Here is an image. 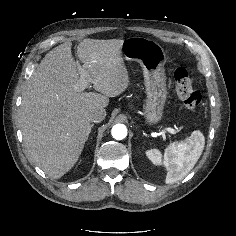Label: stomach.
<instances>
[{"instance_id": "stomach-1", "label": "stomach", "mask_w": 236, "mask_h": 236, "mask_svg": "<svg viewBox=\"0 0 236 236\" xmlns=\"http://www.w3.org/2000/svg\"><path fill=\"white\" fill-rule=\"evenodd\" d=\"M122 58L140 63L145 82L147 100L143 106L146 123H159L163 117L168 97L164 65L166 54L156 41L145 37H131L123 40Z\"/></svg>"}]
</instances>
